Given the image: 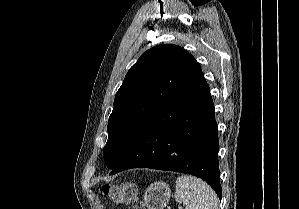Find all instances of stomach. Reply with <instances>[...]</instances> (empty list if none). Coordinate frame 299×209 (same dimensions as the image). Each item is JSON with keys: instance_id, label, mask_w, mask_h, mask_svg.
Returning <instances> with one entry per match:
<instances>
[{"instance_id": "obj_1", "label": "stomach", "mask_w": 299, "mask_h": 209, "mask_svg": "<svg viewBox=\"0 0 299 209\" xmlns=\"http://www.w3.org/2000/svg\"><path fill=\"white\" fill-rule=\"evenodd\" d=\"M171 190L162 181L152 183L145 191L142 204L148 209H164L169 203Z\"/></svg>"}]
</instances>
